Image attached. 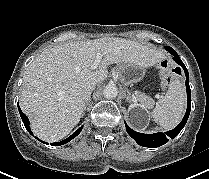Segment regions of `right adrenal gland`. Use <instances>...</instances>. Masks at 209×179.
Listing matches in <instances>:
<instances>
[{"label":"right adrenal gland","mask_w":209,"mask_h":179,"mask_svg":"<svg viewBox=\"0 0 209 179\" xmlns=\"http://www.w3.org/2000/svg\"><path fill=\"white\" fill-rule=\"evenodd\" d=\"M90 101H91V99H90V97H89L88 100L86 101V104H85V107H84L82 116L85 114V111H86L87 106L89 105Z\"/></svg>","instance_id":"1"}]
</instances>
